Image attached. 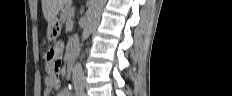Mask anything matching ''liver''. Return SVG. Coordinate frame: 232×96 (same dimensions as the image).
Here are the masks:
<instances>
[{"instance_id": "liver-1", "label": "liver", "mask_w": 232, "mask_h": 96, "mask_svg": "<svg viewBox=\"0 0 232 96\" xmlns=\"http://www.w3.org/2000/svg\"><path fill=\"white\" fill-rule=\"evenodd\" d=\"M68 0H42V11L44 18L48 23L56 19L60 9L67 3Z\"/></svg>"}]
</instances>
